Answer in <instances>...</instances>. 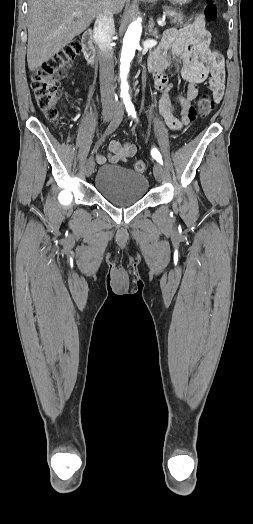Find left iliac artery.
Returning <instances> with one entry per match:
<instances>
[{"instance_id":"left-iliac-artery-1","label":"left iliac artery","mask_w":253,"mask_h":524,"mask_svg":"<svg viewBox=\"0 0 253 524\" xmlns=\"http://www.w3.org/2000/svg\"><path fill=\"white\" fill-rule=\"evenodd\" d=\"M125 106L128 114L131 115L133 118H136V111L134 105L130 101H128L125 103ZM151 155L155 160H157L161 165H163L162 157L156 148H152Z\"/></svg>"}]
</instances>
